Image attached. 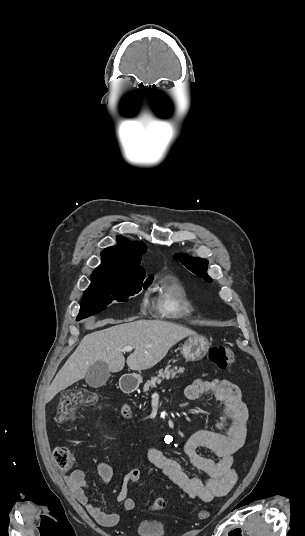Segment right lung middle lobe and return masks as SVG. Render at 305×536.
Segmentation results:
<instances>
[{
  "label": "right lung middle lobe",
  "instance_id": "right-lung-middle-lobe-1",
  "mask_svg": "<svg viewBox=\"0 0 305 536\" xmlns=\"http://www.w3.org/2000/svg\"><path fill=\"white\" fill-rule=\"evenodd\" d=\"M152 278L131 280H93L84 292L77 320L84 319L106 309L112 301H127L141 289H146Z\"/></svg>",
  "mask_w": 305,
  "mask_h": 536
}]
</instances>
